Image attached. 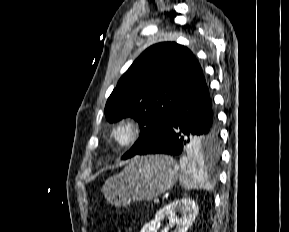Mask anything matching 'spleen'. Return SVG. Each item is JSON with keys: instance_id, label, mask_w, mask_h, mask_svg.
I'll return each mask as SVG.
<instances>
[{"instance_id": "spleen-1", "label": "spleen", "mask_w": 289, "mask_h": 232, "mask_svg": "<svg viewBox=\"0 0 289 232\" xmlns=\"http://www.w3.org/2000/svg\"><path fill=\"white\" fill-rule=\"evenodd\" d=\"M179 162L181 169L180 183L184 189L212 190L213 187L202 165H199L190 157H182Z\"/></svg>"}]
</instances>
